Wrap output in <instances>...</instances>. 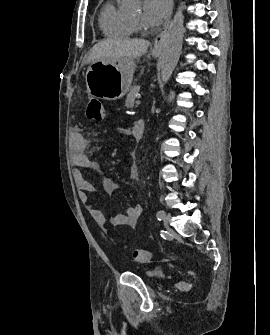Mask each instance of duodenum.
Returning a JSON list of instances; mask_svg holds the SVG:
<instances>
[{
    "mask_svg": "<svg viewBox=\"0 0 270 335\" xmlns=\"http://www.w3.org/2000/svg\"><path fill=\"white\" fill-rule=\"evenodd\" d=\"M144 131H145L144 121L142 120L137 121L133 127V136L139 140L143 137Z\"/></svg>",
    "mask_w": 270,
    "mask_h": 335,
    "instance_id": "1",
    "label": "duodenum"
}]
</instances>
